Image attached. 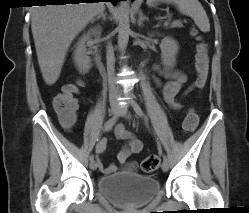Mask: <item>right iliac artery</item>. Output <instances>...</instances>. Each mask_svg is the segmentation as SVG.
I'll return each instance as SVG.
<instances>
[{"label": "right iliac artery", "instance_id": "82829eb1", "mask_svg": "<svg viewBox=\"0 0 249 213\" xmlns=\"http://www.w3.org/2000/svg\"><path fill=\"white\" fill-rule=\"evenodd\" d=\"M119 118V115H115L113 116L112 118H110L105 124H104V130L105 131H109L112 129V127L115 125V123L117 122ZM90 161H93L94 160V156L93 155H90Z\"/></svg>", "mask_w": 249, "mask_h": 213}]
</instances>
